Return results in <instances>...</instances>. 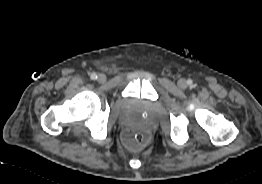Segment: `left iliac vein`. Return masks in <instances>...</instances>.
I'll use <instances>...</instances> for the list:
<instances>
[{
  "label": "left iliac vein",
  "instance_id": "left-iliac-vein-1",
  "mask_svg": "<svg viewBox=\"0 0 262 184\" xmlns=\"http://www.w3.org/2000/svg\"><path fill=\"white\" fill-rule=\"evenodd\" d=\"M178 85H179L181 88L186 87V80H185V79H180V80L178 81Z\"/></svg>",
  "mask_w": 262,
  "mask_h": 184
}]
</instances>
